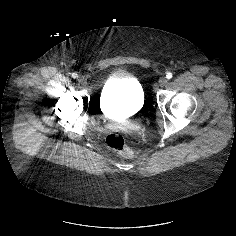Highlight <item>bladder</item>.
<instances>
[{
    "label": "bladder",
    "mask_w": 236,
    "mask_h": 236,
    "mask_svg": "<svg viewBox=\"0 0 236 236\" xmlns=\"http://www.w3.org/2000/svg\"><path fill=\"white\" fill-rule=\"evenodd\" d=\"M144 104V91L140 82L131 75L112 77L101 90L99 107L105 115L133 114Z\"/></svg>",
    "instance_id": "obj_1"
}]
</instances>
